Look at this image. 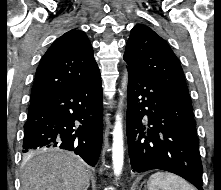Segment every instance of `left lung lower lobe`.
<instances>
[{
	"instance_id": "obj_1",
	"label": "left lung lower lobe",
	"mask_w": 221,
	"mask_h": 190,
	"mask_svg": "<svg viewBox=\"0 0 221 190\" xmlns=\"http://www.w3.org/2000/svg\"><path fill=\"white\" fill-rule=\"evenodd\" d=\"M127 139L133 172L164 170L203 190L192 104L128 68Z\"/></svg>"
}]
</instances>
